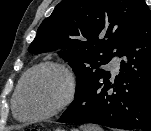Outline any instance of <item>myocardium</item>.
I'll list each match as a JSON object with an SVG mask.
<instances>
[{"instance_id": "f54148a6", "label": "myocardium", "mask_w": 151, "mask_h": 131, "mask_svg": "<svg viewBox=\"0 0 151 131\" xmlns=\"http://www.w3.org/2000/svg\"><path fill=\"white\" fill-rule=\"evenodd\" d=\"M43 70H55L63 76L65 80L64 95L61 98V100L58 102V104L55 107H53L51 110L38 115L22 116L19 113L18 104H19L20 96L24 90V87L31 76ZM76 92H77V78L74 72L67 65L63 63L56 62V61H46L30 68L21 78L18 88L13 97V112L15 116L18 118H25L28 120L48 119L65 110L73 102Z\"/></svg>"}]
</instances>
